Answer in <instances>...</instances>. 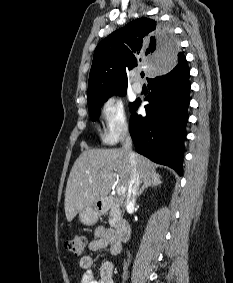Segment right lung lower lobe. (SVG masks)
<instances>
[{
    "mask_svg": "<svg viewBox=\"0 0 233 283\" xmlns=\"http://www.w3.org/2000/svg\"><path fill=\"white\" fill-rule=\"evenodd\" d=\"M189 67L183 56L172 70L149 79L151 90L145 99L146 115L133 113L130 117V135L138 153L152 161L167 165L182 174L183 141L190 102ZM136 100L131 112L137 110Z\"/></svg>",
    "mask_w": 233,
    "mask_h": 283,
    "instance_id": "1",
    "label": "right lung lower lobe"
}]
</instances>
